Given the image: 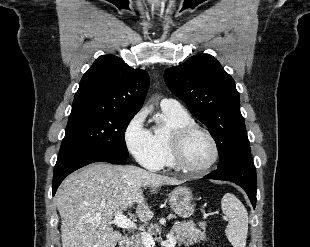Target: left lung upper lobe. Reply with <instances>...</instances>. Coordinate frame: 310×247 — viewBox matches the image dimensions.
Wrapping results in <instances>:
<instances>
[{
	"label": "left lung upper lobe",
	"mask_w": 310,
	"mask_h": 247,
	"mask_svg": "<svg viewBox=\"0 0 310 247\" xmlns=\"http://www.w3.org/2000/svg\"><path fill=\"white\" fill-rule=\"evenodd\" d=\"M164 79L191 114L208 127L218 148V166L250 154L239 93L233 78L213 56H192L182 65L168 68Z\"/></svg>",
	"instance_id": "obj_1"
}]
</instances>
